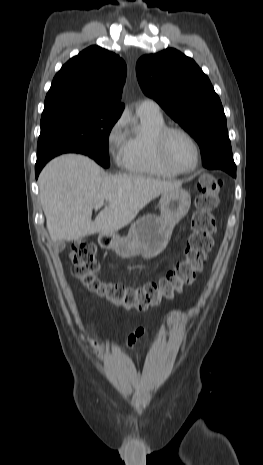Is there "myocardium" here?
<instances>
[{
	"label": "myocardium",
	"instance_id": "myocardium-1",
	"mask_svg": "<svg viewBox=\"0 0 263 465\" xmlns=\"http://www.w3.org/2000/svg\"><path fill=\"white\" fill-rule=\"evenodd\" d=\"M173 134H181L191 141L194 146L196 159L194 165L189 169H181L174 165L168 156V144ZM156 147L160 162L170 171L176 174H189L194 172L201 160V149L196 138L186 129L181 127H165L156 137Z\"/></svg>",
	"mask_w": 263,
	"mask_h": 465
}]
</instances>
